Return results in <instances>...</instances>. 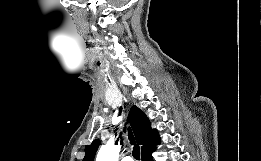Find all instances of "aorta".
<instances>
[{"mask_svg":"<svg viewBox=\"0 0 261 161\" xmlns=\"http://www.w3.org/2000/svg\"><path fill=\"white\" fill-rule=\"evenodd\" d=\"M119 152V146L108 143L100 148L96 161H118Z\"/></svg>","mask_w":261,"mask_h":161,"instance_id":"762f6f07","label":"aorta"}]
</instances>
